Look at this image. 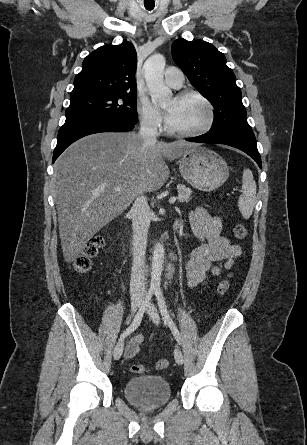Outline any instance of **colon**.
Here are the masks:
<instances>
[{
  "label": "colon",
  "mask_w": 307,
  "mask_h": 445,
  "mask_svg": "<svg viewBox=\"0 0 307 445\" xmlns=\"http://www.w3.org/2000/svg\"><path fill=\"white\" fill-rule=\"evenodd\" d=\"M233 234L236 239L242 240L247 235V230L244 224L237 223L233 227ZM103 246V239L96 238L90 242L85 248L83 253L75 261V269L79 273L88 272L93 265L94 259L98 256L101 247ZM229 289V279L225 278L221 280L218 284L217 291L220 295H224ZM168 366V361L166 359H160L155 363L156 369H164ZM131 371L133 373H143L145 367L143 365L135 364L132 365Z\"/></svg>",
  "instance_id": "colon-1"
}]
</instances>
